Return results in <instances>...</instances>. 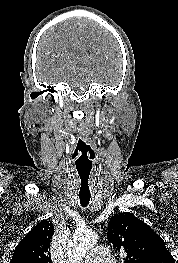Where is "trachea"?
<instances>
[{"instance_id":"3493384b","label":"trachea","mask_w":178,"mask_h":263,"mask_svg":"<svg viewBox=\"0 0 178 263\" xmlns=\"http://www.w3.org/2000/svg\"><path fill=\"white\" fill-rule=\"evenodd\" d=\"M78 171V196L80 204L87 206L91 198L89 187L90 168L87 166H76Z\"/></svg>"}]
</instances>
